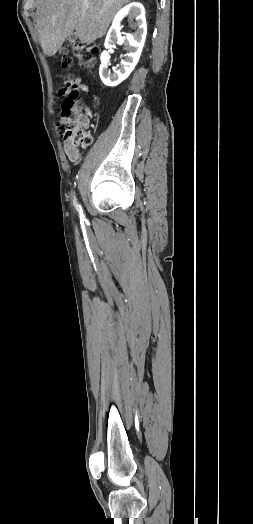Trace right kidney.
<instances>
[{
	"instance_id": "right-kidney-1",
	"label": "right kidney",
	"mask_w": 253,
	"mask_h": 524,
	"mask_svg": "<svg viewBox=\"0 0 253 524\" xmlns=\"http://www.w3.org/2000/svg\"><path fill=\"white\" fill-rule=\"evenodd\" d=\"M126 17L129 19H135V23H133L135 32L133 34L128 33L125 36H122V33L120 32L122 29L121 21ZM146 34L147 25L145 9L141 3H130L116 14L104 43V46L108 51H103L100 57L101 65L99 68V75L106 86H116L120 84L134 70L139 61ZM116 43L124 45L127 54L126 58L121 61L119 69H113V73H111L108 70L110 59L109 52L115 47Z\"/></svg>"
}]
</instances>
